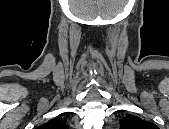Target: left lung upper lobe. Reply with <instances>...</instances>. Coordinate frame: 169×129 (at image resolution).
<instances>
[{"label":"left lung upper lobe","instance_id":"1","mask_svg":"<svg viewBox=\"0 0 169 129\" xmlns=\"http://www.w3.org/2000/svg\"><path fill=\"white\" fill-rule=\"evenodd\" d=\"M120 123V129H158L157 125L133 115H129L120 120Z\"/></svg>","mask_w":169,"mask_h":129}]
</instances>
